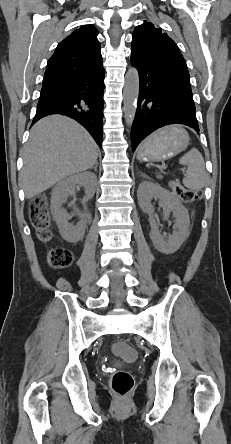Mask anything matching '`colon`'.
<instances>
[{
  "label": "colon",
  "mask_w": 231,
  "mask_h": 444,
  "mask_svg": "<svg viewBox=\"0 0 231 444\" xmlns=\"http://www.w3.org/2000/svg\"><path fill=\"white\" fill-rule=\"evenodd\" d=\"M170 187L175 195L183 202L191 203L202 196V192L185 188L178 180H173ZM30 216L33 225L38 231L41 240H47L49 232V213L47 201L43 196L35 197L30 204ZM73 261L72 253L63 248L52 250L48 255V262L55 269H64L71 265ZM114 353L123 360L132 361L135 358V351L127 343L117 342L113 346ZM111 387L113 391L122 397L127 396L133 389L134 378L126 370H117L111 376Z\"/></svg>",
  "instance_id": "obj_1"
}]
</instances>
